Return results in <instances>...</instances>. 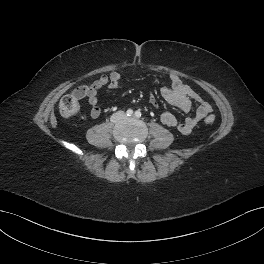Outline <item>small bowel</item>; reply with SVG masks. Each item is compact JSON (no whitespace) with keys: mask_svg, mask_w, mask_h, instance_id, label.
I'll use <instances>...</instances> for the list:
<instances>
[{"mask_svg":"<svg viewBox=\"0 0 264 264\" xmlns=\"http://www.w3.org/2000/svg\"><path fill=\"white\" fill-rule=\"evenodd\" d=\"M120 83L121 75L118 72H112L110 75H101L87 88L85 96L88 98L91 107L90 114L93 118H98L101 114L97 95L98 91L106 85H108L109 88L114 89L118 87ZM160 93L168 104L185 113L191 110L193 103L197 104L194 114L187 116L183 122L178 121L170 112H163L161 114L160 119L162 123L176 129L181 134H190L198 122L212 112L211 105L187 84L182 82V80L176 75L169 76V85L162 86ZM149 101L153 106H157V101L154 95H150Z\"/></svg>","mask_w":264,"mask_h":264,"instance_id":"c3829d8e","label":"small bowel"}]
</instances>
